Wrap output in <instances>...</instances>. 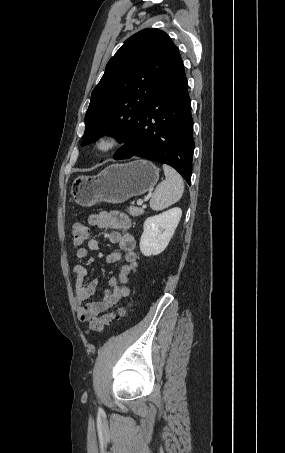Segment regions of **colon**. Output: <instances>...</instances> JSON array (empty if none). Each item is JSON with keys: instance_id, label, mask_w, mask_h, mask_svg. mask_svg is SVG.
Listing matches in <instances>:
<instances>
[{"instance_id": "5ec220e1", "label": "colon", "mask_w": 285, "mask_h": 453, "mask_svg": "<svg viewBox=\"0 0 285 453\" xmlns=\"http://www.w3.org/2000/svg\"><path fill=\"white\" fill-rule=\"evenodd\" d=\"M88 227L82 222L74 223L72 227V237H73V247L76 249H81L85 240L88 237ZM130 306V303H127L123 306L118 307L117 309L105 313L100 317L90 318L88 324V333H97L101 332L106 325H109L112 321L123 317L127 311V308Z\"/></svg>"}]
</instances>
